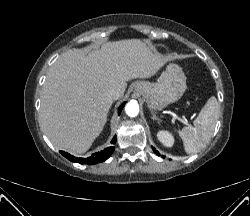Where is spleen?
Returning a JSON list of instances; mask_svg holds the SVG:
<instances>
[{"label": "spleen", "instance_id": "1", "mask_svg": "<svg viewBox=\"0 0 250 216\" xmlns=\"http://www.w3.org/2000/svg\"><path fill=\"white\" fill-rule=\"evenodd\" d=\"M218 113L219 103L212 96L201 109L194 125L186 126L178 131L186 153H197L209 143L215 129Z\"/></svg>", "mask_w": 250, "mask_h": 216}]
</instances>
